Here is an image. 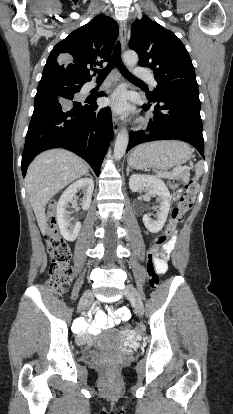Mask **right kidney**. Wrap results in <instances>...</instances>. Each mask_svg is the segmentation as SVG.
<instances>
[{"instance_id":"1","label":"right kidney","mask_w":233,"mask_h":414,"mask_svg":"<svg viewBox=\"0 0 233 414\" xmlns=\"http://www.w3.org/2000/svg\"><path fill=\"white\" fill-rule=\"evenodd\" d=\"M94 189V181L92 178H81L71 184L61 195L58 204L56 218L62 236L67 241H74L80 231L81 222L77 221L72 223V219L69 216L67 210L68 204H75L76 193L79 190H83V198L81 206L83 210H88L91 204L92 194Z\"/></svg>"}]
</instances>
